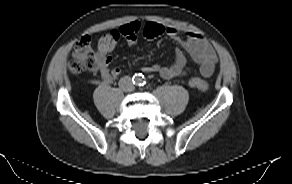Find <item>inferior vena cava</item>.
Returning a JSON list of instances; mask_svg holds the SVG:
<instances>
[{
    "mask_svg": "<svg viewBox=\"0 0 292 184\" xmlns=\"http://www.w3.org/2000/svg\"><path fill=\"white\" fill-rule=\"evenodd\" d=\"M119 87L125 92H131L134 90V85L129 76H125L119 80Z\"/></svg>",
    "mask_w": 292,
    "mask_h": 184,
    "instance_id": "inferior-vena-cava-1",
    "label": "inferior vena cava"
}]
</instances>
